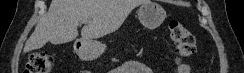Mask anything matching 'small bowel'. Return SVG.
Returning <instances> with one entry per match:
<instances>
[{
	"label": "small bowel",
	"mask_w": 244,
	"mask_h": 73,
	"mask_svg": "<svg viewBox=\"0 0 244 73\" xmlns=\"http://www.w3.org/2000/svg\"><path fill=\"white\" fill-rule=\"evenodd\" d=\"M191 68L188 64L182 63L177 67V73H190ZM111 73H153L152 70L145 64L139 61H126L117 68L113 69Z\"/></svg>",
	"instance_id": "c3829d8e"
}]
</instances>
